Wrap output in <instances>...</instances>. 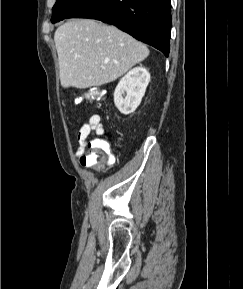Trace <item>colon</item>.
Returning a JSON list of instances; mask_svg holds the SVG:
<instances>
[{
  "label": "colon",
  "mask_w": 243,
  "mask_h": 289,
  "mask_svg": "<svg viewBox=\"0 0 243 289\" xmlns=\"http://www.w3.org/2000/svg\"><path fill=\"white\" fill-rule=\"evenodd\" d=\"M104 92L96 88L86 90L82 95L76 96L75 103L83 100L102 101ZM89 152L81 158V162L87 166H110L114 163V155L110 151L109 144L102 139H94L88 143Z\"/></svg>",
  "instance_id": "1"
}]
</instances>
